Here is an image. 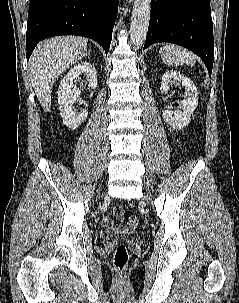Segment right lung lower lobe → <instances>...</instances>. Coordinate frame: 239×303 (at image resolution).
<instances>
[{"label":"right lung lower lobe","instance_id":"98d812e1","mask_svg":"<svg viewBox=\"0 0 239 303\" xmlns=\"http://www.w3.org/2000/svg\"><path fill=\"white\" fill-rule=\"evenodd\" d=\"M119 0H30L26 33L27 60L48 37L79 35L109 51Z\"/></svg>","mask_w":239,"mask_h":303}]
</instances>
